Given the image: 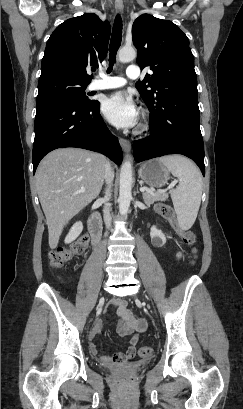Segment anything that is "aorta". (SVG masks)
<instances>
[{
  "instance_id": "obj_1",
  "label": "aorta",
  "mask_w": 243,
  "mask_h": 409,
  "mask_svg": "<svg viewBox=\"0 0 243 409\" xmlns=\"http://www.w3.org/2000/svg\"><path fill=\"white\" fill-rule=\"evenodd\" d=\"M136 51L133 47H123L118 54L119 61L127 63L134 60ZM132 199V161L127 159L122 163L119 184V212L126 215Z\"/></svg>"
}]
</instances>
